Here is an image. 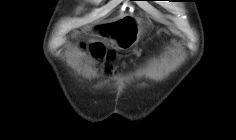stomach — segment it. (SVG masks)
Instances as JSON below:
<instances>
[{
    "label": "stomach",
    "instance_id": "obj_1",
    "mask_svg": "<svg viewBox=\"0 0 236 140\" xmlns=\"http://www.w3.org/2000/svg\"><path fill=\"white\" fill-rule=\"evenodd\" d=\"M91 30H114L111 35L118 46L124 49L132 47L140 38L145 30L142 21L133 18L125 17L118 22H100V25H91ZM101 35V32L91 31V36ZM107 35V32H104ZM108 43H111L110 37H106Z\"/></svg>",
    "mask_w": 236,
    "mask_h": 140
}]
</instances>
